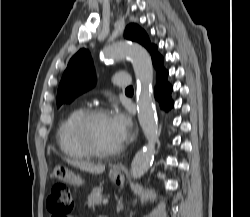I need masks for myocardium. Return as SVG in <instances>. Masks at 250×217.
<instances>
[{
    "label": "myocardium",
    "instance_id": "f54148a6",
    "mask_svg": "<svg viewBox=\"0 0 250 217\" xmlns=\"http://www.w3.org/2000/svg\"><path fill=\"white\" fill-rule=\"evenodd\" d=\"M107 115L106 110L101 107H95L87 110L76 124V135L81 145L94 156L109 157L120 153L123 146L120 145L114 149L100 148L92 138L91 125L98 117Z\"/></svg>",
    "mask_w": 250,
    "mask_h": 217
}]
</instances>
